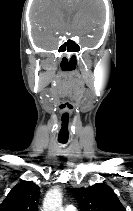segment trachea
<instances>
[{"label": "trachea", "instance_id": "obj_1", "mask_svg": "<svg viewBox=\"0 0 133 211\" xmlns=\"http://www.w3.org/2000/svg\"><path fill=\"white\" fill-rule=\"evenodd\" d=\"M59 142L62 143V144L67 143V141H62V140H59Z\"/></svg>", "mask_w": 133, "mask_h": 211}]
</instances>
